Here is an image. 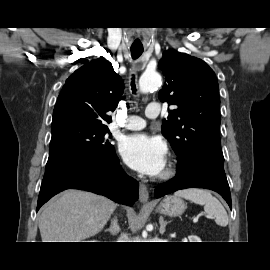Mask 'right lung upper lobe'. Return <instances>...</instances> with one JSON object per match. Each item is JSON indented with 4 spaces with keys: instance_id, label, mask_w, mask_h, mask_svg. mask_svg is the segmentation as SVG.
<instances>
[{
    "instance_id": "1",
    "label": "right lung upper lobe",
    "mask_w": 270,
    "mask_h": 270,
    "mask_svg": "<svg viewBox=\"0 0 270 270\" xmlns=\"http://www.w3.org/2000/svg\"><path fill=\"white\" fill-rule=\"evenodd\" d=\"M123 90L122 78L105 58L86 63L66 80L51 126L69 122L106 126L112 121L106 113L115 110Z\"/></svg>"
}]
</instances>
